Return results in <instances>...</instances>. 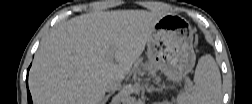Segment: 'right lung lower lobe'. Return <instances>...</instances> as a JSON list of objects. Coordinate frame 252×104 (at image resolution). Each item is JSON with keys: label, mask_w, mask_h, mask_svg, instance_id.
Returning a JSON list of instances; mask_svg holds the SVG:
<instances>
[{"label": "right lung lower lobe", "mask_w": 252, "mask_h": 104, "mask_svg": "<svg viewBox=\"0 0 252 104\" xmlns=\"http://www.w3.org/2000/svg\"><path fill=\"white\" fill-rule=\"evenodd\" d=\"M28 71H29V69H28ZM27 79H28V78H26V84L28 85ZM27 96H28V104H32V98H31L29 89H27Z\"/></svg>", "instance_id": "1"}]
</instances>
